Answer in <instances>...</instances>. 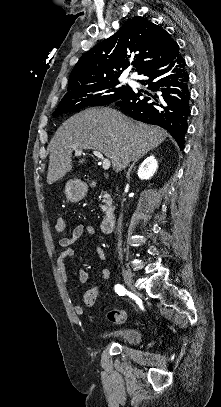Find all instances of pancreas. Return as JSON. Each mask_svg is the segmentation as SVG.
<instances>
[{
	"mask_svg": "<svg viewBox=\"0 0 221 407\" xmlns=\"http://www.w3.org/2000/svg\"><path fill=\"white\" fill-rule=\"evenodd\" d=\"M102 202L104 203V205H101V209H102L103 212L106 213V212H108L110 210V206H109L110 196L108 194H105L103 196Z\"/></svg>",
	"mask_w": 221,
	"mask_h": 407,
	"instance_id": "1",
	"label": "pancreas"
}]
</instances>
